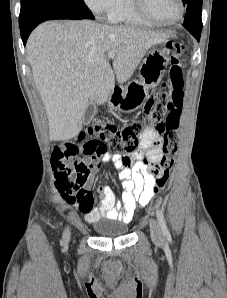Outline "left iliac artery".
<instances>
[{
  "label": "left iliac artery",
  "mask_w": 227,
  "mask_h": 298,
  "mask_svg": "<svg viewBox=\"0 0 227 298\" xmlns=\"http://www.w3.org/2000/svg\"><path fill=\"white\" fill-rule=\"evenodd\" d=\"M156 216H157L158 222L160 224V227L162 229L163 235L166 238H170V232H169L168 227L166 225V221H165L163 212L161 210L157 209L156 210Z\"/></svg>",
  "instance_id": "44dca946"
}]
</instances>
